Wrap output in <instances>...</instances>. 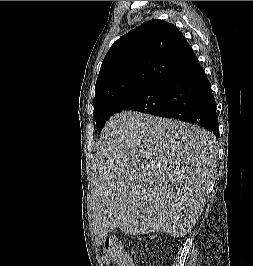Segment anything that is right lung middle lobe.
Returning <instances> with one entry per match:
<instances>
[{
    "instance_id": "1",
    "label": "right lung middle lobe",
    "mask_w": 253,
    "mask_h": 266,
    "mask_svg": "<svg viewBox=\"0 0 253 266\" xmlns=\"http://www.w3.org/2000/svg\"><path fill=\"white\" fill-rule=\"evenodd\" d=\"M168 85L169 82H152L94 105L93 118L98 131L102 130L110 116L118 112L138 111L158 115L163 109Z\"/></svg>"
}]
</instances>
